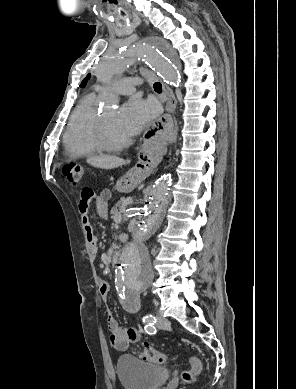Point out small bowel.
Wrapping results in <instances>:
<instances>
[{
  "instance_id": "obj_1",
  "label": "small bowel",
  "mask_w": 296,
  "mask_h": 389,
  "mask_svg": "<svg viewBox=\"0 0 296 389\" xmlns=\"http://www.w3.org/2000/svg\"><path fill=\"white\" fill-rule=\"evenodd\" d=\"M91 193L89 197L87 194ZM110 193L104 191L101 195L96 196L90 189H83L81 192L78 208L81 216V223L86 233L88 242L91 248L96 250V238L93 234L88 210L92 202L95 203L96 210L101 216H106L108 211L107 198ZM99 291L103 299H107L110 286L107 282L102 281L99 286ZM107 326L109 329V340L111 345L118 351H125L130 344L137 343L140 339L139 331L134 327H120L112 313L107 315Z\"/></svg>"
}]
</instances>
